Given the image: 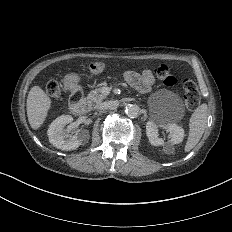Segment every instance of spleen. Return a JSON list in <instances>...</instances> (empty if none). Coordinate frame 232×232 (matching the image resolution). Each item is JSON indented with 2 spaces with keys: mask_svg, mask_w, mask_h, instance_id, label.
Instances as JSON below:
<instances>
[{
  "mask_svg": "<svg viewBox=\"0 0 232 232\" xmlns=\"http://www.w3.org/2000/svg\"><path fill=\"white\" fill-rule=\"evenodd\" d=\"M208 106L200 105L192 114L189 123V136L185 145V152L192 150L200 141L207 125Z\"/></svg>",
  "mask_w": 232,
  "mask_h": 232,
  "instance_id": "spleen-1",
  "label": "spleen"
}]
</instances>
